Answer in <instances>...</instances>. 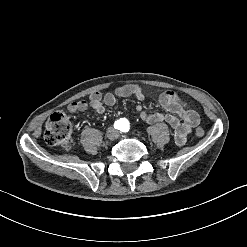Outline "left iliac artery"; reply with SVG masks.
I'll return each mask as SVG.
<instances>
[{"label": "left iliac artery", "instance_id": "obj_1", "mask_svg": "<svg viewBox=\"0 0 247 247\" xmlns=\"http://www.w3.org/2000/svg\"><path fill=\"white\" fill-rule=\"evenodd\" d=\"M129 122H124L123 127H122V132H128L129 131Z\"/></svg>", "mask_w": 247, "mask_h": 247}]
</instances>
